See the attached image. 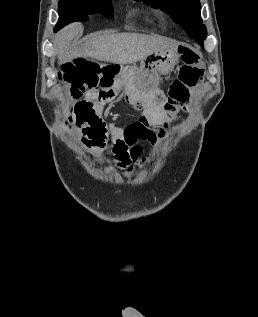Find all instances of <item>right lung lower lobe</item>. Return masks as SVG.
I'll return each mask as SVG.
<instances>
[{
	"instance_id": "right-lung-lower-lobe-1",
	"label": "right lung lower lobe",
	"mask_w": 258,
	"mask_h": 317,
	"mask_svg": "<svg viewBox=\"0 0 258 317\" xmlns=\"http://www.w3.org/2000/svg\"><path fill=\"white\" fill-rule=\"evenodd\" d=\"M59 13V21L54 29V31H58L65 25L69 24L73 21H87L89 19V14H86L80 9L73 7H62L58 9Z\"/></svg>"
}]
</instances>
